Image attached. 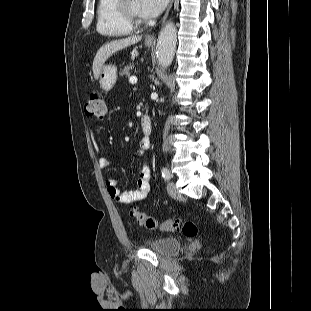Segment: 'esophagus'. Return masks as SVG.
<instances>
[{
  "mask_svg": "<svg viewBox=\"0 0 311 311\" xmlns=\"http://www.w3.org/2000/svg\"><path fill=\"white\" fill-rule=\"evenodd\" d=\"M173 1H174V0H171L170 5L168 6V8H167V10H166V13H165V15H164V17H163L162 23H164L165 20L167 19L168 14H169V12H170V9H171V7H172V5H173ZM155 38H156V35H154V34L148 35V36L146 37V41H155Z\"/></svg>",
  "mask_w": 311,
  "mask_h": 311,
  "instance_id": "esophagus-1",
  "label": "esophagus"
}]
</instances>
